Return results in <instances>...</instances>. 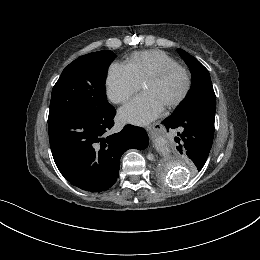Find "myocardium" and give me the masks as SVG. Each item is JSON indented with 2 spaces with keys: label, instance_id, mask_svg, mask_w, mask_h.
I'll return each mask as SVG.
<instances>
[{
  "label": "myocardium",
  "instance_id": "f54148a6",
  "mask_svg": "<svg viewBox=\"0 0 260 260\" xmlns=\"http://www.w3.org/2000/svg\"><path fill=\"white\" fill-rule=\"evenodd\" d=\"M175 72H182L184 74L185 79H186V84H185V88L183 89L181 94L175 100H173L171 103H169L168 105L165 106V108L169 109V110L174 109L178 105H180L185 100L187 95L189 94V92L191 90V86H192V76H191L190 71L182 65L168 66V67H165V68L159 70L158 72L154 73L153 75L149 76L144 81V85L148 84V83H157V82L164 80L166 77H168L169 75H171Z\"/></svg>",
  "mask_w": 260,
  "mask_h": 260
}]
</instances>
